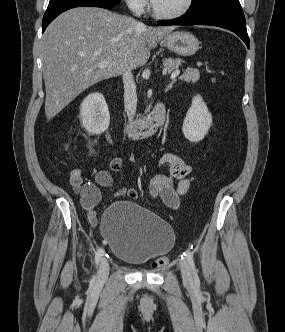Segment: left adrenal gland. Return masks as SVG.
<instances>
[{
  "instance_id": "obj_1",
  "label": "left adrenal gland",
  "mask_w": 285,
  "mask_h": 332,
  "mask_svg": "<svg viewBox=\"0 0 285 332\" xmlns=\"http://www.w3.org/2000/svg\"><path fill=\"white\" fill-rule=\"evenodd\" d=\"M176 82V79H173L170 81V83L166 87V91L170 90L173 87V84Z\"/></svg>"
}]
</instances>
